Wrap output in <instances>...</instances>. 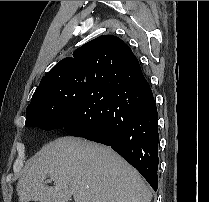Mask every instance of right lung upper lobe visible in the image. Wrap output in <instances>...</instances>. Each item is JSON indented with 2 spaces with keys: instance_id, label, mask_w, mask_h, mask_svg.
Wrapping results in <instances>:
<instances>
[{
  "instance_id": "cb5924a9",
  "label": "right lung upper lobe",
  "mask_w": 209,
  "mask_h": 202,
  "mask_svg": "<svg viewBox=\"0 0 209 202\" xmlns=\"http://www.w3.org/2000/svg\"><path fill=\"white\" fill-rule=\"evenodd\" d=\"M134 59L137 58L131 48L120 38L113 35L99 36L77 48L73 52V58L67 57L58 62L42 78L33 96L52 77L75 73H84L100 77L110 69H126L129 62ZM32 102L31 99L28 107ZM29 123L30 120L26 118L25 125L28 126Z\"/></svg>"
}]
</instances>
